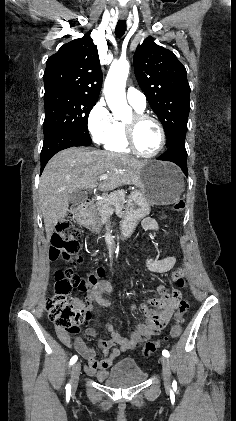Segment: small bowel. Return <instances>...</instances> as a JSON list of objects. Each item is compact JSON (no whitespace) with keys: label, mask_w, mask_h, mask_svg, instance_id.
<instances>
[{"label":"small bowel","mask_w":236,"mask_h":421,"mask_svg":"<svg viewBox=\"0 0 236 421\" xmlns=\"http://www.w3.org/2000/svg\"><path fill=\"white\" fill-rule=\"evenodd\" d=\"M142 225L145 229H149L152 231H158L159 225L157 220L153 218H145L142 222ZM149 267L151 269H159L160 266L155 267V263L151 261L148 262ZM109 291V287L107 285H101L93 290H91L85 299V302L80 300H75L74 302L79 305H85L89 310L92 309L93 305L99 304L104 307H111L112 303L104 298V294ZM160 292H165L163 287H159ZM174 303H176V298L174 299ZM59 338L67 345L72 343V339L70 335L60 330H57ZM87 335L94 336L95 332L92 329L87 330ZM119 354V351L115 350L110 356L104 357L102 359H97L92 351H89L86 354H82L89 360L90 371H94L95 369H100L98 372V377L103 378L105 375V370L112 364L113 359Z\"/></svg>","instance_id":"obj_1"}]
</instances>
